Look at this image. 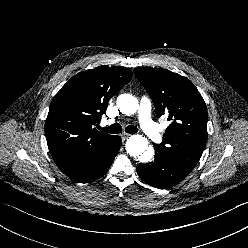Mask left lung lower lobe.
Masks as SVG:
<instances>
[{"mask_svg": "<svg viewBox=\"0 0 248 248\" xmlns=\"http://www.w3.org/2000/svg\"><path fill=\"white\" fill-rule=\"evenodd\" d=\"M136 170L146 183L160 189L178 184L190 173L158 152H156L153 162L139 164Z\"/></svg>", "mask_w": 248, "mask_h": 248, "instance_id": "left-lung-lower-lobe-1", "label": "left lung lower lobe"}]
</instances>
